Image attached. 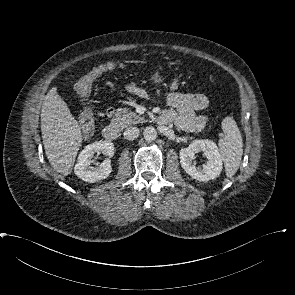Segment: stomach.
<instances>
[{"mask_svg":"<svg viewBox=\"0 0 295 295\" xmlns=\"http://www.w3.org/2000/svg\"><path fill=\"white\" fill-rule=\"evenodd\" d=\"M151 80L153 83L157 84L162 82L163 78L158 73H155L154 75L151 76Z\"/></svg>","mask_w":295,"mask_h":295,"instance_id":"obj_1","label":"stomach"}]
</instances>
